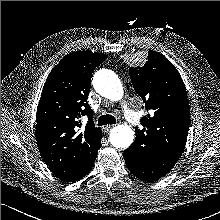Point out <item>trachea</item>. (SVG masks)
Returning a JSON list of instances; mask_svg holds the SVG:
<instances>
[{"label": "trachea", "instance_id": "1", "mask_svg": "<svg viewBox=\"0 0 220 220\" xmlns=\"http://www.w3.org/2000/svg\"><path fill=\"white\" fill-rule=\"evenodd\" d=\"M116 124V119L112 115H102L98 119V126H105V125H114Z\"/></svg>", "mask_w": 220, "mask_h": 220}]
</instances>
